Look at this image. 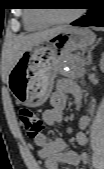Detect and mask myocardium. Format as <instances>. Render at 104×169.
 Wrapping results in <instances>:
<instances>
[{"label":"myocardium","instance_id":"1","mask_svg":"<svg viewBox=\"0 0 104 169\" xmlns=\"http://www.w3.org/2000/svg\"><path fill=\"white\" fill-rule=\"evenodd\" d=\"M79 15H80V13L77 11L68 17L55 18V17H52V16L46 14V15H42V18H44L46 21H48L50 23H69V22H72L75 19H77L79 17Z\"/></svg>","mask_w":104,"mask_h":169}]
</instances>
